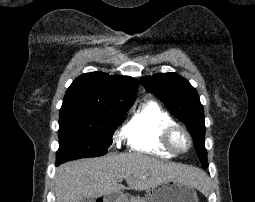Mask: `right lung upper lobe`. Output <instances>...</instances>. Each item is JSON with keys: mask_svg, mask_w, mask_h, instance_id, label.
Instances as JSON below:
<instances>
[{"mask_svg": "<svg viewBox=\"0 0 255 202\" xmlns=\"http://www.w3.org/2000/svg\"><path fill=\"white\" fill-rule=\"evenodd\" d=\"M138 81L129 76L86 73L67 89L60 116L81 112H102L131 107Z\"/></svg>", "mask_w": 255, "mask_h": 202, "instance_id": "right-lung-upper-lobe-1", "label": "right lung upper lobe"}]
</instances>
